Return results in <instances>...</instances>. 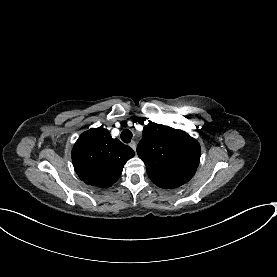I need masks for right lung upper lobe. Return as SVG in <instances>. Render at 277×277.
I'll return each mask as SVG.
<instances>
[{
	"mask_svg": "<svg viewBox=\"0 0 277 277\" xmlns=\"http://www.w3.org/2000/svg\"><path fill=\"white\" fill-rule=\"evenodd\" d=\"M134 155L129 146L113 139L100 127L78 138L72 150V161L77 175L86 184L107 188L118 180L124 164Z\"/></svg>",
	"mask_w": 277,
	"mask_h": 277,
	"instance_id": "obj_1",
	"label": "right lung upper lobe"
}]
</instances>
